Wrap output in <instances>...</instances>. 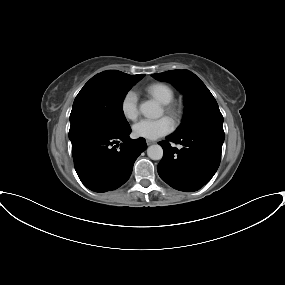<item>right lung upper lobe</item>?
<instances>
[{"label": "right lung upper lobe", "mask_w": 285, "mask_h": 285, "mask_svg": "<svg viewBox=\"0 0 285 285\" xmlns=\"http://www.w3.org/2000/svg\"><path fill=\"white\" fill-rule=\"evenodd\" d=\"M144 75H128L117 70L104 71L92 77L90 81L103 79H141Z\"/></svg>", "instance_id": "cb5924a9"}]
</instances>
